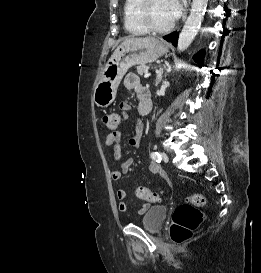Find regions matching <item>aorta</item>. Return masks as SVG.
Listing matches in <instances>:
<instances>
[{
  "label": "aorta",
  "instance_id": "1",
  "mask_svg": "<svg viewBox=\"0 0 261 273\" xmlns=\"http://www.w3.org/2000/svg\"><path fill=\"white\" fill-rule=\"evenodd\" d=\"M207 3L208 0L192 1L190 14L178 38L177 49L179 52L185 51L192 43L200 28Z\"/></svg>",
  "mask_w": 261,
  "mask_h": 273
}]
</instances>
